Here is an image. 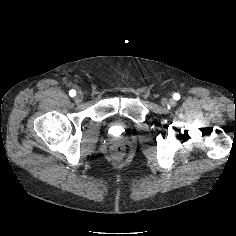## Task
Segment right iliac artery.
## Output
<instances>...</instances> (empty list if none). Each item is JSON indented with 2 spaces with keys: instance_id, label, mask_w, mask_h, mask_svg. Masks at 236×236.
<instances>
[{
  "instance_id": "82829eb1",
  "label": "right iliac artery",
  "mask_w": 236,
  "mask_h": 236,
  "mask_svg": "<svg viewBox=\"0 0 236 236\" xmlns=\"http://www.w3.org/2000/svg\"><path fill=\"white\" fill-rule=\"evenodd\" d=\"M69 95H70L71 97H74V96L76 95V91H75L74 89L70 90V91H69Z\"/></svg>"
}]
</instances>
